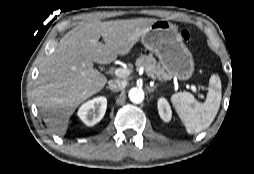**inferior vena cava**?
I'll list each match as a JSON object with an SVG mask.
<instances>
[{
  "label": "inferior vena cava",
  "instance_id": "602c4592",
  "mask_svg": "<svg viewBox=\"0 0 254 174\" xmlns=\"http://www.w3.org/2000/svg\"><path fill=\"white\" fill-rule=\"evenodd\" d=\"M109 84V88L110 90L112 91H119V90H122L126 87L127 83L126 81H123V80H110L108 82Z\"/></svg>",
  "mask_w": 254,
  "mask_h": 174
}]
</instances>
